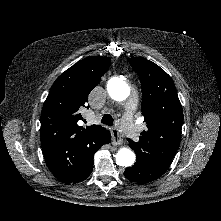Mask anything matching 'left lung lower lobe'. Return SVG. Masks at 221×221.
I'll list each match as a JSON object with an SVG mask.
<instances>
[{"instance_id": "obj_1", "label": "left lung lower lobe", "mask_w": 221, "mask_h": 221, "mask_svg": "<svg viewBox=\"0 0 221 221\" xmlns=\"http://www.w3.org/2000/svg\"><path fill=\"white\" fill-rule=\"evenodd\" d=\"M170 166V163L144 164L136 162L124 171V176L137 183H148L159 178Z\"/></svg>"}]
</instances>
